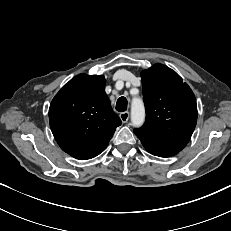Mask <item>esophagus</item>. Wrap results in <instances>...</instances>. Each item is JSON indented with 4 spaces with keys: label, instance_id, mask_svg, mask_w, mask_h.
Wrapping results in <instances>:
<instances>
[{
    "label": "esophagus",
    "instance_id": "34e87169",
    "mask_svg": "<svg viewBox=\"0 0 231 231\" xmlns=\"http://www.w3.org/2000/svg\"><path fill=\"white\" fill-rule=\"evenodd\" d=\"M120 119L123 123H126L129 119V112L128 111H125V112H122L120 113Z\"/></svg>",
    "mask_w": 231,
    "mask_h": 231
}]
</instances>
